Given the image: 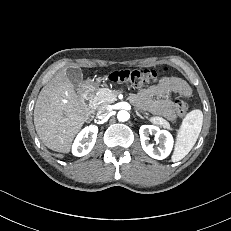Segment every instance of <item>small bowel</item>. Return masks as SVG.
Returning <instances> with one entry per match:
<instances>
[{"mask_svg":"<svg viewBox=\"0 0 231 231\" xmlns=\"http://www.w3.org/2000/svg\"><path fill=\"white\" fill-rule=\"evenodd\" d=\"M172 94L189 97L191 88L181 78L162 77L157 79L153 85L142 90L139 96L150 111L172 120L175 118Z\"/></svg>","mask_w":231,"mask_h":231,"instance_id":"small-bowel-1","label":"small bowel"}]
</instances>
